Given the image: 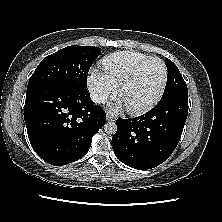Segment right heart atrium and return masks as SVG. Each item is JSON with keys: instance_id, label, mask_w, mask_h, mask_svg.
Masks as SVG:
<instances>
[{"instance_id": "right-heart-atrium-1", "label": "right heart atrium", "mask_w": 222, "mask_h": 222, "mask_svg": "<svg viewBox=\"0 0 222 222\" xmlns=\"http://www.w3.org/2000/svg\"><path fill=\"white\" fill-rule=\"evenodd\" d=\"M87 85L90 95L96 103H104L117 92V87L108 76L95 68L91 69L88 74Z\"/></svg>"}]
</instances>
